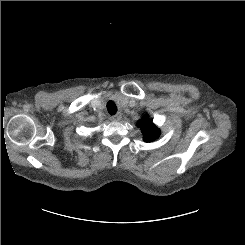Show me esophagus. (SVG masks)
<instances>
[{
	"label": "esophagus",
	"instance_id": "1",
	"mask_svg": "<svg viewBox=\"0 0 245 245\" xmlns=\"http://www.w3.org/2000/svg\"><path fill=\"white\" fill-rule=\"evenodd\" d=\"M121 118H122V114H121V113H117V114H115L114 116H111V117H110V119H111L112 121H119V120H121Z\"/></svg>",
	"mask_w": 245,
	"mask_h": 245
}]
</instances>
